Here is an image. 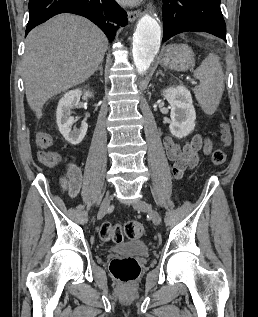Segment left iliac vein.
Wrapping results in <instances>:
<instances>
[{
  "instance_id": "1",
  "label": "left iliac vein",
  "mask_w": 258,
  "mask_h": 317,
  "mask_svg": "<svg viewBox=\"0 0 258 317\" xmlns=\"http://www.w3.org/2000/svg\"><path fill=\"white\" fill-rule=\"evenodd\" d=\"M150 203H147L146 200H137L136 202L132 203V208L136 209L137 211H143V210H150ZM151 222L153 224H157L158 226L160 225V215L156 209H151Z\"/></svg>"
}]
</instances>
